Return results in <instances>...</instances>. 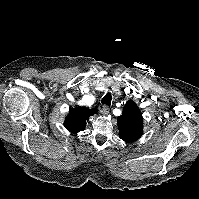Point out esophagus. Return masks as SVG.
Wrapping results in <instances>:
<instances>
[{
  "instance_id": "obj_1",
  "label": "esophagus",
  "mask_w": 199,
  "mask_h": 199,
  "mask_svg": "<svg viewBox=\"0 0 199 199\" xmlns=\"http://www.w3.org/2000/svg\"><path fill=\"white\" fill-rule=\"evenodd\" d=\"M102 112H103L105 115H107V114L109 113V107L106 106V105H103V106H102Z\"/></svg>"
}]
</instances>
